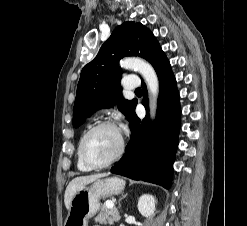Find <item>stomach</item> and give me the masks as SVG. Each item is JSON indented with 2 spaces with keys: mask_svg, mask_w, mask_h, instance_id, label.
Instances as JSON below:
<instances>
[{
  "mask_svg": "<svg viewBox=\"0 0 247 226\" xmlns=\"http://www.w3.org/2000/svg\"><path fill=\"white\" fill-rule=\"evenodd\" d=\"M125 181L119 177L97 179L85 185L73 196L64 226H87L88 220L100 208V199L123 192Z\"/></svg>",
  "mask_w": 247,
  "mask_h": 226,
  "instance_id": "obj_1",
  "label": "stomach"
}]
</instances>
